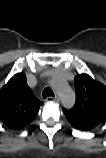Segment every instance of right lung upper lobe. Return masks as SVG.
Here are the masks:
<instances>
[{
  "label": "right lung upper lobe",
  "instance_id": "right-lung-upper-lobe-1",
  "mask_svg": "<svg viewBox=\"0 0 106 158\" xmlns=\"http://www.w3.org/2000/svg\"><path fill=\"white\" fill-rule=\"evenodd\" d=\"M42 104L27 85L24 72L17 73L0 90V122L22 129L34 120Z\"/></svg>",
  "mask_w": 106,
  "mask_h": 158
}]
</instances>
